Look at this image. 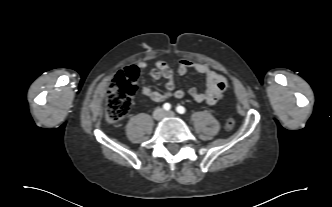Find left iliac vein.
I'll return each mask as SVG.
<instances>
[{
    "mask_svg": "<svg viewBox=\"0 0 332 207\" xmlns=\"http://www.w3.org/2000/svg\"><path fill=\"white\" fill-rule=\"evenodd\" d=\"M166 115L170 116V117H175L176 116V114L173 111L166 112Z\"/></svg>",
    "mask_w": 332,
    "mask_h": 207,
    "instance_id": "4c4485c4",
    "label": "left iliac vein"
}]
</instances>
